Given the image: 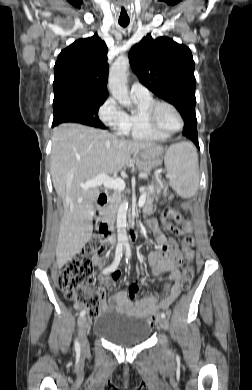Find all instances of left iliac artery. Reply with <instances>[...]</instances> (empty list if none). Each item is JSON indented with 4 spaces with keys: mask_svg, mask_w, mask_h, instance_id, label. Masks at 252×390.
<instances>
[{
    "mask_svg": "<svg viewBox=\"0 0 252 390\" xmlns=\"http://www.w3.org/2000/svg\"><path fill=\"white\" fill-rule=\"evenodd\" d=\"M125 248H126V263L128 264L131 256L130 245L126 243ZM165 317H166L165 313H161V318H165Z\"/></svg>",
    "mask_w": 252,
    "mask_h": 390,
    "instance_id": "obj_1",
    "label": "left iliac artery"
}]
</instances>
